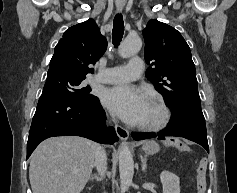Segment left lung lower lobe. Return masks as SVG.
Returning <instances> with one entry per match:
<instances>
[{
	"label": "left lung lower lobe",
	"instance_id": "obj_1",
	"mask_svg": "<svg viewBox=\"0 0 237 193\" xmlns=\"http://www.w3.org/2000/svg\"><path fill=\"white\" fill-rule=\"evenodd\" d=\"M165 136H176L189 139L203 146L209 152L205 119L192 117L183 121H171L170 124L159 133H132L135 140H143L154 137L164 139Z\"/></svg>",
	"mask_w": 237,
	"mask_h": 193
}]
</instances>
